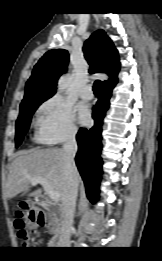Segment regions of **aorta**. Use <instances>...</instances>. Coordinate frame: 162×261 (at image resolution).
I'll return each instance as SVG.
<instances>
[{"instance_id":"762f6f07","label":"aorta","mask_w":162,"mask_h":261,"mask_svg":"<svg viewBox=\"0 0 162 261\" xmlns=\"http://www.w3.org/2000/svg\"><path fill=\"white\" fill-rule=\"evenodd\" d=\"M68 81V76H62L58 82V91H62L65 89Z\"/></svg>"}]
</instances>
